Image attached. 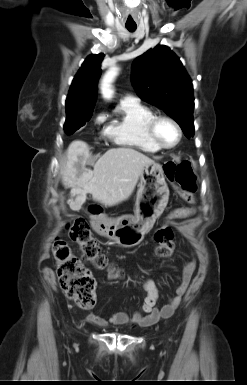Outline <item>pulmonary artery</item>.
<instances>
[{
    "instance_id": "e3ab8cb5",
    "label": "pulmonary artery",
    "mask_w": 247,
    "mask_h": 385,
    "mask_svg": "<svg viewBox=\"0 0 247 385\" xmlns=\"http://www.w3.org/2000/svg\"><path fill=\"white\" fill-rule=\"evenodd\" d=\"M136 101H137V99L130 94L125 95L123 100H122V102H136Z\"/></svg>"
}]
</instances>
